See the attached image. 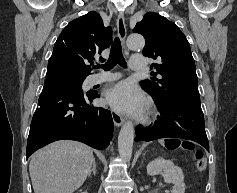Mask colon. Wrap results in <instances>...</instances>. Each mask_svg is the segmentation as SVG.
I'll list each match as a JSON object with an SVG mask.
<instances>
[{
	"mask_svg": "<svg viewBox=\"0 0 237 193\" xmlns=\"http://www.w3.org/2000/svg\"><path fill=\"white\" fill-rule=\"evenodd\" d=\"M165 146L168 148H182L186 150H193V145L188 142H181L179 140H166ZM194 157L196 160V168L198 171H204L207 168V159L201 151H195Z\"/></svg>",
	"mask_w": 237,
	"mask_h": 193,
	"instance_id": "5ec220e1",
	"label": "colon"
}]
</instances>
